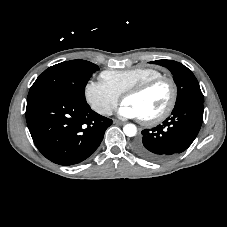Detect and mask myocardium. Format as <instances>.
Wrapping results in <instances>:
<instances>
[{"label":"myocardium","mask_w":227,"mask_h":227,"mask_svg":"<svg viewBox=\"0 0 227 227\" xmlns=\"http://www.w3.org/2000/svg\"><path fill=\"white\" fill-rule=\"evenodd\" d=\"M161 82H166L170 86L171 95H170L169 102L167 106L164 108V110L160 112L158 115L150 118H141V121L146 125H155L164 121L174 110L176 106L177 98H178V89L174 79L165 75L154 77L135 87L130 88L123 94V101H124L126 97L141 95Z\"/></svg>","instance_id":"obj_1"}]
</instances>
